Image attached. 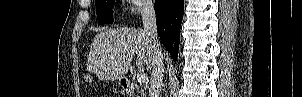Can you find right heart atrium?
I'll return each instance as SVG.
<instances>
[{
    "label": "right heart atrium",
    "mask_w": 302,
    "mask_h": 97,
    "mask_svg": "<svg viewBox=\"0 0 302 97\" xmlns=\"http://www.w3.org/2000/svg\"><path fill=\"white\" fill-rule=\"evenodd\" d=\"M131 6L128 11V17L133 18L140 14H144L145 12L151 10V6L146 4L145 1L141 0H131Z\"/></svg>",
    "instance_id": "d8ad5b80"
}]
</instances>
